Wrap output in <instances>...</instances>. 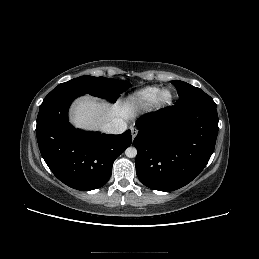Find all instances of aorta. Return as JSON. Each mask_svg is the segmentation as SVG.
I'll return each instance as SVG.
<instances>
[{
    "label": "aorta",
    "instance_id": "762f6f07",
    "mask_svg": "<svg viewBox=\"0 0 259 259\" xmlns=\"http://www.w3.org/2000/svg\"><path fill=\"white\" fill-rule=\"evenodd\" d=\"M125 154L128 158H134L137 155V150L135 147H129L125 150Z\"/></svg>",
    "mask_w": 259,
    "mask_h": 259
}]
</instances>
